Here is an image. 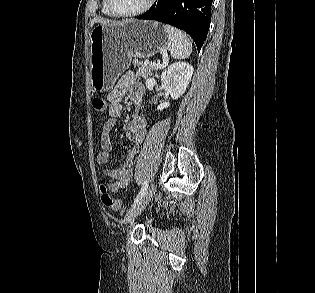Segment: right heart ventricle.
I'll return each mask as SVG.
<instances>
[{
    "instance_id": "right-heart-ventricle-1",
    "label": "right heart ventricle",
    "mask_w": 315,
    "mask_h": 293,
    "mask_svg": "<svg viewBox=\"0 0 315 293\" xmlns=\"http://www.w3.org/2000/svg\"><path fill=\"white\" fill-rule=\"evenodd\" d=\"M101 10L104 15L109 16V17H114V15L111 14L107 8L106 0L101 1Z\"/></svg>"
}]
</instances>
